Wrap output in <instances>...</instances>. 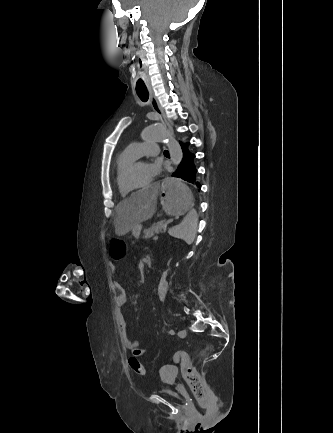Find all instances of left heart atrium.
<instances>
[{
	"mask_svg": "<svg viewBox=\"0 0 333 433\" xmlns=\"http://www.w3.org/2000/svg\"><path fill=\"white\" fill-rule=\"evenodd\" d=\"M160 171V165L158 162H152L149 164V180L154 178Z\"/></svg>",
	"mask_w": 333,
	"mask_h": 433,
	"instance_id": "1",
	"label": "left heart atrium"
}]
</instances>
